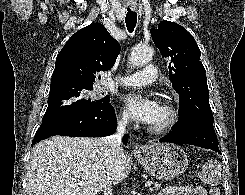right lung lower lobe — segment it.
I'll return each mask as SVG.
<instances>
[{
    "label": "right lung lower lobe",
    "instance_id": "obj_1",
    "mask_svg": "<svg viewBox=\"0 0 245 195\" xmlns=\"http://www.w3.org/2000/svg\"><path fill=\"white\" fill-rule=\"evenodd\" d=\"M117 120L114 108L109 102H100L90 109L73 111L42 122L32 146L55 135L75 137H104L114 132ZM127 136L123 142L127 143Z\"/></svg>",
    "mask_w": 245,
    "mask_h": 195
}]
</instances>
